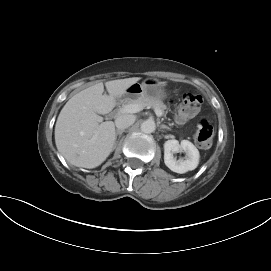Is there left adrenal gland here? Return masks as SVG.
I'll use <instances>...</instances> for the list:
<instances>
[{
	"instance_id": "1",
	"label": "left adrenal gland",
	"mask_w": 271,
	"mask_h": 271,
	"mask_svg": "<svg viewBox=\"0 0 271 271\" xmlns=\"http://www.w3.org/2000/svg\"><path fill=\"white\" fill-rule=\"evenodd\" d=\"M162 129H167V130H171L168 126H166V125H161L160 126Z\"/></svg>"
}]
</instances>
